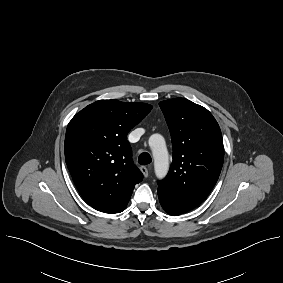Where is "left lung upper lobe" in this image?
<instances>
[{"label":"left lung upper lobe","instance_id":"5c2ea615","mask_svg":"<svg viewBox=\"0 0 283 283\" xmlns=\"http://www.w3.org/2000/svg\"><path fill=\"white\" fill-rule=\"evenodd\" d=\"M168 124L173 162L158 192L184 213L203 202L220 175L224 148L220 127L204 107L185 98L159 103Z\"/></svg>","mask_w":283,"mask_h":283}]
</instances>
